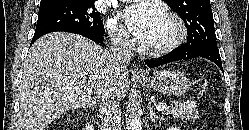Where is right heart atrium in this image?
Masks as SVG:
<instances>
[{
  "label": "right heart atrium",
  "instance_id": "obj_1",
  "mask_svg": "<svg viewBox=\"0 0 249 130\" xmlns=\"http://www.w3.org/2000/svg\"><path fill=\"white\" fill-rule=\"evenodd\" d=\"M106 30L115 45L127 50L133 47L134 41L131 35L124 27L119 25L116 20L108 19L106 22Z\"/></svg>",
  "mask_w": 249,
  "mask_h": 130
}]
</instances>
